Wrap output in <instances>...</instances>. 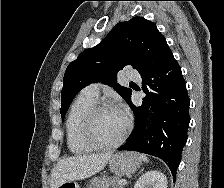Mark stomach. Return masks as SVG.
<instances>
[{"label":"stomach","instance_id":"1","mask_svg":"<svg viewBox=\"0 0 224 188\" xmlns=\"http://www.w3.org/2000/svg\"><path fill=\"white\" fill-rule=\"evenodd\" d=\"M141 163L142 160L137 153L117 152L109 159V169L115 175L122 176L137 171ZM57 188H79V185L74 181H66Z\"/></svg>","mask_w":224,"mask_h":188}]
</instances>
